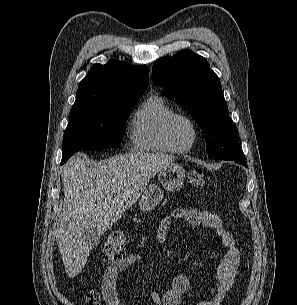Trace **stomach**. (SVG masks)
<instances>
[{
	"label": "stomach",
	"instance_id": "stomach-1",
	"mask_svg": "<svg viewBox=\"0 0 297 305\" xmlns=\"http://www.w3.org/2000/svg\"><path fill=\"white\" fill-rule=\"evenodd\" d=\"M158 179L163 188L168 191H175L181 188L185 171L182 166L170 163L158 171ZM163 199V192L157 184H149L139 203L140 210L143 212L153 210Z\"/></svg>",
	"mask_w": 297,
	"mask_h": 305
}]
</instances>
